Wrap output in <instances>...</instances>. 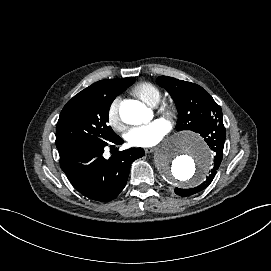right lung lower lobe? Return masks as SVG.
Masks as SVG:
<instances>
[{
  "label": "right lung lower lobe",
  "instance_id": "obj_1",
  "mask_svg": "<svg viewBox=\"0 0 271 271\" xmlns=\"http://www.w3.org/2000/svg\"><path fill=\"white\" fill-rule=\"evenodd\" d=\"M110 143L123 140L116 135L111 140H80L58 148L60 167L71 184L94 201L115 199L126 185L131 163L145 154L142 148H131L105 159L104 148Z\"/></svg>",
  "mask_w": 271,
  "mask_h": 271
}]
</instances>
